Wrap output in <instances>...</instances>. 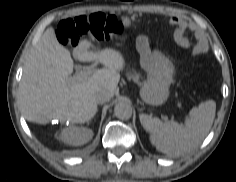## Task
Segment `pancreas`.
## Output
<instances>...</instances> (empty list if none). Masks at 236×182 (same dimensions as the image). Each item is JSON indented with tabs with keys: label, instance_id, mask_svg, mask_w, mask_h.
Returning a JSON list of instances; mask_svg holds the SVG:
<instances>
[{
	"label": "pancreas",
	"instance_id": "1",
	"mask_svg": "<svg viewBox=\"0 0 236 182\" xmlns=\"http://www.w3.org/2000/svg\"><path fill=\"white\" fill-rule=\"evenodd\" d=\"M128 78L132 79L136 83H139L140 75L137 73H134L132 75H128Z\"/></svg>",
	"mask_w": 236,
	"mask_h": 182
}]
</instances>
